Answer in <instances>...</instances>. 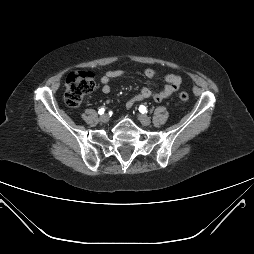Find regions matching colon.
I'll return each instance as SVG.
<instances>
[{
  "mask_svg": "<svg viewBox=\"0 0 254 254\" xmlns=\"http://www.w3.org/2000/svg\"><path fill=\"white\" fill-rule=\"evenodd\" d=\"M94 88L95 80L92 72L74 71L70 73L65 82L64 100L66 105L71 108L78 107L83 98L91 93ZM179 99L186 102L189 96L186 92H180Z\"/></svg>",
  "mask_w": 254,
  "mask_h": 254,
  "instance_id": "obj_1",
  "label": "colon"
}]
</instances>
